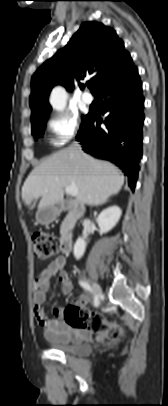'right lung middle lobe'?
I'll return each mask as SVG.
<instances>
[{
  "mask_svg": "<svg viewBox=\"0 0 168 406\" xmlns=\"http://www.w3.org/2000/svg\"><path fill=\"white\" fill-rule=\"evenodd\" d=\"M87 116H88V114L83 117L82 123L85 121ZM44 119L32 124V135L34 136V138H38L40 135L43 134L44 129H45V121H44Z\"/></svg>",
  "mask_w": 168,
  "mask_h": 406,
  "instance_id": "right-lung-middle-lobe-1",
  "label": "right lung middle lobe"
}]
</instances>
